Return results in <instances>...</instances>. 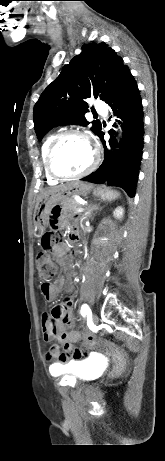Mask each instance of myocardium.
Instances as JSON below:
<instances>
[{
  "label": "myocardium",
  "mask_w": 165,
  "mask_h": 461,
  "mask_svg": "<svg viewBox=\"0 0 165 461\" xmlns=\"http://www.w3.org/2000/svg\"><path fill=\"white\" fill-rule=\"evenodd\" d=\"M70 136L80 137V138L85 139L88 142V144L90 145L91 150H92V160H91L90 164L88 165V167L86 169H84L83 171H81V172H79L77 174L63 175V174H60L59 172H57L55 170L54 165H53V157H54L55 150H56L57 146L59 145V143L64 138H67V137H70ZM99 159H100L99 150L96 147V145L91 141L90 137L86 133H84L82 131L75 130V129H69V130H65V131L59 133L51 141V143H50V145H49V147L47 149V152H46L45 168H46L48 174L50 176H52L53 178L57 179V180H72V179L82 178V177L90 174L92 171H94L96 169L98 163H99Z\"/></svg>",
  "instance_id": "f54148a6"
}]
</instances>
